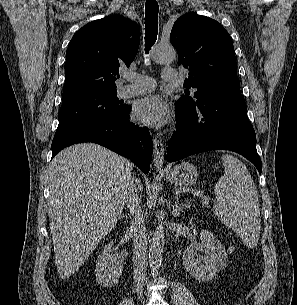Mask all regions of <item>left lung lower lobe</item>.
<instances>
[{
	"label": "left lung lower lobe",
	"mask_w": 297,
	"mask_h": 305,
	"mask_svg": "<svg viewBox=\"0 0 297 305\" xmlns=\"http://www.w3.org/2000/svg\"><path fill=\"white\" fill-rule=\"evenodd\" d=\"M246 110L240 88L220 93L192 109L176 104L178 125L168 143L167 160L174 162L210 150H230L247 158L261 174L256 134Z\"/></svg>",
	"instance_id": "1"
}]
</instances>
